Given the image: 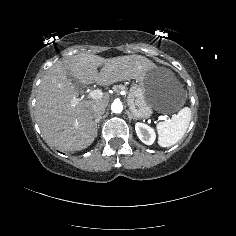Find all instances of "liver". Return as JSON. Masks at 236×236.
<instances>
[{"instance_id":"obj_1","label":"liver","mask_w":236,"mask_h":236,"mask_svg":"<svg viewBox=\"0 0 236 236\" xmlns=\"http://www.w3.org/2000/svg\"><path fill=\"white\" fill-rule=\"evenodd\" d=\"M155 67L151 60L136 54L105 59L81 53L57 61L46 70L38 86L35 115L43 137L60 151H78L90 146L97 134L92 108L106 107L109 94L100 99L78 98L68 73L84 84L108 86L129 79L141 81Z\"/></svg>"}]
</instances>
